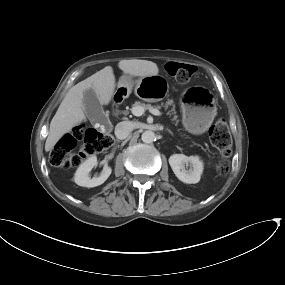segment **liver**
Masks as SVG:
<instances>
[{"instance_id": "obj_1", "label": "liver", "mask_w": 285, "mask_h": 285, "mask_svg": "<svg viewBox=\"0 0 285 285\" xmlns=\"http://www.w3.org/2000/svg\"><path fill=\"white\" fill-rule=\"evenodd\" d=\"M118 67L125 74L139 77L154 76L158 75L159 72L156 63L139 59L121 60ZM115 86V76L111 66H106L73 86L51 120L45 151H51L55 144L73 127L86 121L83 97L87 89H94L101 104L108 105L114 95Z\"/></svg>"}]
</instances>
